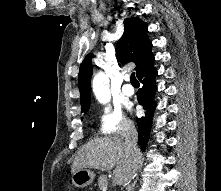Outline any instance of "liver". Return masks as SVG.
Returning a JSON list of instances; mask_svg holds the SVG:
<instances>
[{"label":"liver","instance_id":"liver-1","mask_svg":"<svg viewBox=\"0 0 221 191\" xmlns=\"http://www.w3.org/2000/svg\"><path fill=\"white\" fill-rule=\"evenodd\" d=\"M139 161H134L125 141L120 138H96L80 148L71 172L74 173L82 168H95L102 171L113 169V183L122 185L134 176Z\"/></svg>","mask_w":221,"mask_h":191}]
</instances>
